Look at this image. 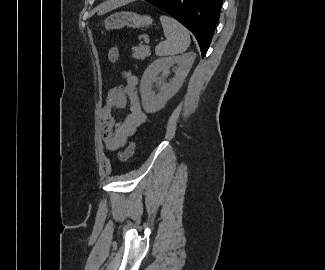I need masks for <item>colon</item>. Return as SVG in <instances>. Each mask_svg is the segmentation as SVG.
Masks as SVG:
<instances>
[{"label": "colon", "mask_w": 325, "mask_h": 270, "mask_svg": "<svg viewBox=\"0 0 325 270\" xmlns=\"http://www.w3.org/2000/svg\"><path fill=\"white\" fill-rule=\"evenodd\" d=\"M119 55H120L119 48L116 46L111 47L108 52V59L111 63H115L118 61ZM134 150H135V143L131 142L123 152L119 153L118 155L119 161L120 162L127 161L133 155Z\"/></svg>", "instance_id": "colon-1"}]
</instances>
